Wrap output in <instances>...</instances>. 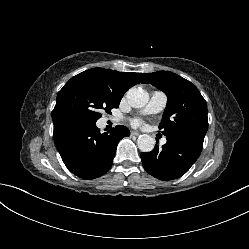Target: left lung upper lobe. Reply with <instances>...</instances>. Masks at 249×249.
Returning a JSON list of instances; mask_svg holds the SVG:
<instances>
[{
    "label": "left lung upper lobe",
    "mask_w": 249,
    "mask_h": 249,
    "mask_svg": "<svg viewBox=\"0 0 249 249\" xmlns=\"http://www.w3.org/2000/svg\"><path fill=\"white\" fill-rule=\"evenodd\" d=\"M143 83H150L167 95V106L159 124L166 137L175 134L205 136L207 103L194 84L169 71L147 73Z\"/></svg>",
    "instance_id": "1"
}]
</instances>
